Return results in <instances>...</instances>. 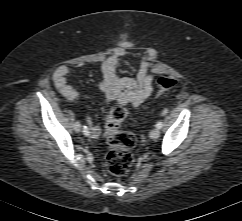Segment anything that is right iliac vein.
I'll return each mask as SVG.
<instances>
[{
  "mask_svg": "<svg viewBox=\"0 0 242 221\" xmlns=\"http://www.w3.org/2000/svg\"><path fill=\"white\" fill-rule=\"evenodd\" d=\"M80 129H81V125H80V123L79 122H76L75 124H74V130L75 131H80Z\"/></svg>",
  "mask_w": 242,
  "mask_h": 221,
  "instance_id": "obj_1",
  "label": "right iliac vein"
}]
</instances>
